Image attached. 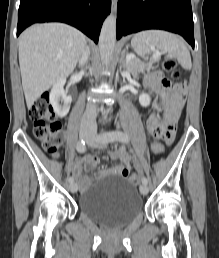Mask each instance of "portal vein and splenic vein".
I'll return each instance as SVG.
<instances>
[{"label": "portal vein and splenic vein", "instance_id": "18ae733b", "mask_svg": "<svg viewBox=\"0 0 219 258\" xmlns=\"http://www.w3.org/2000/svg\"><path fill=\"white\" fill-rule=\"evenodd\" d=\"M160 55H161V53H159V52H156L153 56H152V58H159L160 57ZM131 58L130 57H127V61H129Z\"/></svg>", "mask_w": 219, "mask_h": 258}]
</instances>
